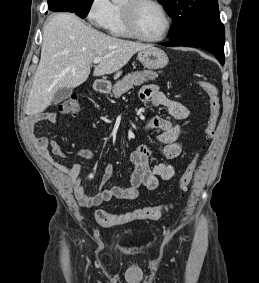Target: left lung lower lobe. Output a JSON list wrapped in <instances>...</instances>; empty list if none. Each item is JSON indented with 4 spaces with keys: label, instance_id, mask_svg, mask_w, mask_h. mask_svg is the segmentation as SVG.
Instances as JSON below:
<instances>
[{
    "label": "left lung lower lobe",
    "instance_id": "0a47b994",
    "mask_svg": "<svg viewBox=\"0 0 259 283\" xmlns=\"http://www.w3.org/2000/svg\"><path fill=\"white\" fill-rule=\"evenodd\" d=\"M225 29L221 22L218 24L177 40H171L163 46H193L207 50L215 55L221 65H224Z\"/></svg>",
    "mask_w": 259,
    "mask_h": 283
}]
</instances>
